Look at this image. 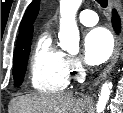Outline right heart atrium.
<instances>
[{"mask_svg": "<svg viewBox=\"0 0 123 113\" xmlns=\"http://www.w3.org/2000/svg\"><path fill=\"white\" fill-rule=\"evenodd\" d=\"M66 68L69 77H72L74 79H79L83 75L84 66L78 57L67 55Z\"/></svg>", "mask_w": 123, "mask_h": 113, "instance_id": "obj_1", "label": "right heart atrium"}]
</instances>
